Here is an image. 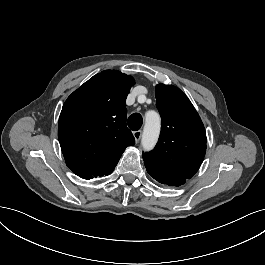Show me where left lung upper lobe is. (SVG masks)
Returning a JSON list of instances; mask_svg holds the SVG:
<instances>
[{"mask_svg": "<svg viewBox=\"0 0 265 265\" xmlns=\"http://www.w3.org/2000/svg\"><path fill=\"white\" fill-rule=\"evenodd\" d=\"M156 106L162 118L156 147L143 154L147 172L159 183L180 186L200 168L206 153L204 125L188 97L177 87L159 84Z\"/></svg>", "mask_w": 265, "mask_h": 265, "instance_id": "1", "label": "left lung upper lobe"}]
</instances>
